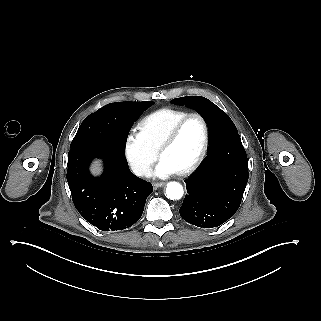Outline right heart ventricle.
Masks as SVG:
<instances>
[{"label": "right heart ventricle", "mask_w": 321, "mask_h": 321, "mask_svg": "<svg viewBox=\"0 0 321 321\" xmlns=\"http://www.w3.org/2000/svg\"><path fill=\"white\" fill-rule=\"evenodd\" d=\"M189 111L165 107L146 115L139 123V128L152 146H157L169 129Z\"/></svg>", "instance_id": "right-heart-ventricle-1"}]
</instances>
